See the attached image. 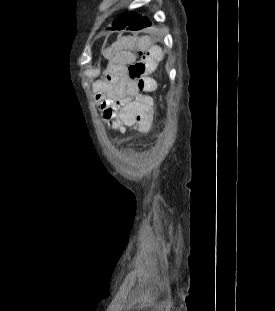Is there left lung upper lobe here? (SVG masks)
I'll list each match as a JSON object with an SVG mask.
<instances>
[{
	"mask_svg": "<svg viewBox=\"0 0 275 311\" xmlns=\"http://www.w3.org/2000/svg\"><path fill=\"white\" fill-rule=\"evenodd\" d=\"M137 18H138V15H136V14L123 15L122 17L116 19L113 22V27H111L109 29H111V30L124 29V28L128 27L130 24H132Z\"/></svg>",
	"mask_w": 275,
	"mask_h": 311,
	"instance_id": "1",
	"label": "left lung upper lobe"
}]
</instances>
